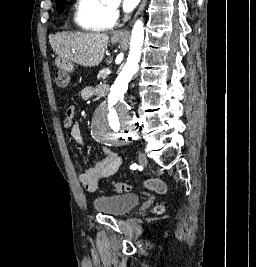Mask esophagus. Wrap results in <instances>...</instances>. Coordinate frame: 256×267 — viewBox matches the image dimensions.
Returning a JSON list of instances; mask_svg holds the SVG:
<instances>
[{
    "label": "esophagus",
    "mask_w": 256,
    "mask_h": 267,
    "mask_svg": "<svg viewBox=\"0 0 256 267\" xmlns=\"http://www.w3.org/2000/svg\"><path fill=\"white\" fill-rule=\"evenodd\" d=\"M147 0H141V3H140V6L135 14V17L133 19V21H135V18L140 14V12L143 10L144 6H145V3H146ZM133 21L131 22V24L133 23ZM127 35V29H123V30H119L118 32H116L114 34V36H126Z\"/></svg>",
    "instance_id": "obj_1"
}]
</instances>
